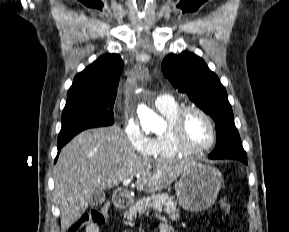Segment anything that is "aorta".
<instances>
[{"label":"aorta","mask_w":289,"mask_h":232,"mask_svg":"<svg viewBox=\"0 0 289 232\" xmlns=\"http://www.w3.org/2000/svg\"><path fill=\"white\" fill-rule=\"evenodd\" d=\"M139 117L143 129L147 132H159L164 129V121L145 105L139 107Z\"/></svg>","instance_id":"762f6f07"}]
</instances>
